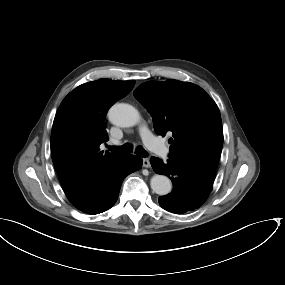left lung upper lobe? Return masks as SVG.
<instances>
[{
  "mask_svg": "<svg viewBox=\"0 0 285 285\" xmlns=\"http://www.w3.org/2000/svg\"><path fill=\"white\" fill-rule=\"evenodd\" d=\"M151 114L154 130L169 139V158L216 172L223 146L219 109L199 86L177 80L149 81L134 91Z\"/></svg>",
  "mask_w": 285,
  "mask_h": 285,
  "instance_id": "1",
  "label": "left lung upper lobe"
}]
</instances>
